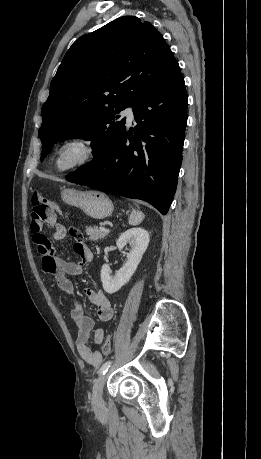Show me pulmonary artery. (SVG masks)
Returning <instances> with one entry per match:
<instances>
[{
  "mask_svg": "<svg viewBox=\"0 0 261 459\" xmlns=\"http://www.w3.org/2000/svg\"><path fill=\"white\" fill-rule=\"evenodd\" d=\"M123 115L126 116L127 121L129 123H132L134 121V113H133V109L131 107L126 108L123 111Z\"/></svg>",
  "mask_w": 261,
  "mask_h": 459,
  "instance_id": "obj_1",
  "label": "pulmonary artery"
}]
</instances>
